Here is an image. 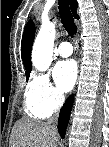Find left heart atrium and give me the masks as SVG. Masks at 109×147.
Segmentation results:
<instances>
[{"label": "left heart atrium", "instance_id": "39dd6f15", "mask_svg": "<svg viewBox=\"0 0 109 147\" xmlns=\"http://www.w3.org/2000/svg\"><path fill=\"white\" fill-rule=\"evenodd\" d=\"M76 77V65L72 60L59 62L53 70L55 83L63 92H68L73 87Z\"/></svg>", "mask_w": 109, "mask_h": 147}]
</instances>
